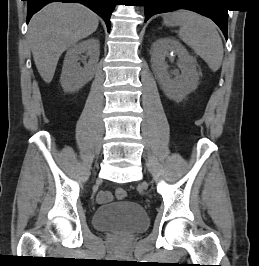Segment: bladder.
<instances>
[{"instance_id": "obj_1", "label": "bladder", "mask_w": 259, "mask_h": 266, "mask_svg": "<svg viewBox=\"0 0 259 266\" xmlns=\"http://www.w3.org/2000/svg\"><path fill=\"white\" fill-rule=\"evenodd\" d=\"M93 223L100 230L138 233L148 227L149 217L139 203L123 201L97 208L93 215Z\"/></svg>"}]
</instances>
